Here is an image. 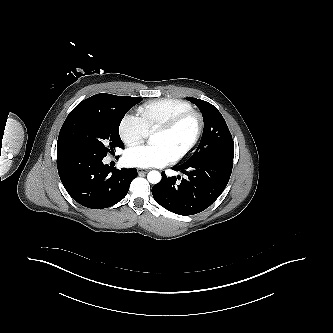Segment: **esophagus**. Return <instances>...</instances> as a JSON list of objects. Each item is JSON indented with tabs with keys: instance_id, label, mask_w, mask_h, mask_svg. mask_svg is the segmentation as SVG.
Returning <instances> with one entry per match:
<instances>
[{
	"instance_id": "obj_1",
	"label": "esophagus",
	"mask_w": 333,
	"mask_h": 333,
	"mask_svg": "<svg viewBox=\"0 0 333 333\" xmlns=\"http://www.w3.org/2000/svg\"><path fill=\"white\" fill-rule=\"evenodd\" d=\"M147 173V170H142V169H138V174L141 176V175H144Z\"/></svg>"
}]
</instances>
